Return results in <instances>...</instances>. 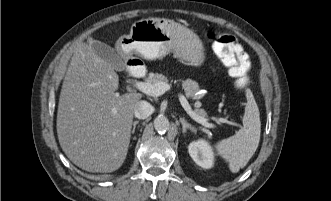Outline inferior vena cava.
<instances>
[{
	"label": "inferior vena cava",
	"instance_id": "1",
	"mask_svg": "<svg viewBox=\"0 0 331 201\" xmlns=\"http://www.w3.org/2000/svg\"><path fill=\"white\" fill-rule=\"evenodd\" d=\"M154 112L153 106L147 101H138L134 107V115L138 119H145Z\"/></svg>",
	"mask_w": 331,
	"mask_h": 201
}]
</instances>
